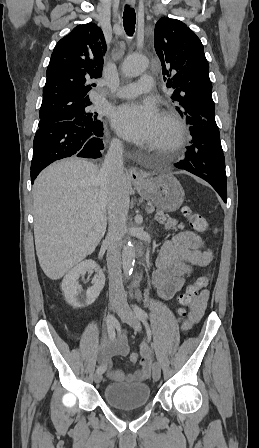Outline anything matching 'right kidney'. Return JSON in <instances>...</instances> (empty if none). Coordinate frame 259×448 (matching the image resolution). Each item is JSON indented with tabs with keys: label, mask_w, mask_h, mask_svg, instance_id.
<instances>
[{
	"label": "right kidney",
	"mask_w": 259,
	"mask_h": 448,
	"mask_svg": "<svg viewBox=\"0 0 259 448\" xmlns=\"http://www.w3.org/2000/svg\"><path fill=\"white\" fill-rule=\"evenodd\" d=\"M89 270H95L98 276H95L94 286L88 288L86 292L80 290L79 280L80 276H84ZM105 286L104 272L100 270V266L94 260H85L81 264H77L70 272H67L65 278L62 280L61 288L64 292L65 300L72 306V308H85L89 304H93L97 300L101 290Z\"/></svg>",
	"instance_id": "1"
}]
</instances>
